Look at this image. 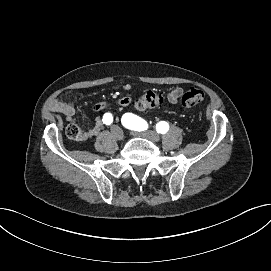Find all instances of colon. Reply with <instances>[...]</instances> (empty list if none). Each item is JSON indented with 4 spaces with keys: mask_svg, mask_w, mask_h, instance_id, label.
Instances as JSON below:
<instances>
[{
    "mask_svg": "<svg viewBox=\"0 0 271 271\" xmlns=\"http://www.w3.org/2000/svg\"><path fill=\"white\" fill-rule=\"evenodd\" d=\"M204 98V93L197 88H191L185 92L181 98V102L185 107H193L200 103ZM164 101V96L161 93L155 91H148L140 96L134 102V108L139 111H145L153 108H158L162 105ZM66 134L68 138L72 140H81L82 131L75 125L70 124L66 129Z\"/></svg>",
    "mask_w": 271,
    "mask_h": 271,
    "instance_id": "obj_1",
    "label": "colon"
}]
</instances>
